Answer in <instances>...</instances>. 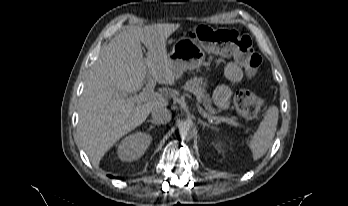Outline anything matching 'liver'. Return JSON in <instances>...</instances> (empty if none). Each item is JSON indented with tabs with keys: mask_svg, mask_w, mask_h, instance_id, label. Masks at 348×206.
<instances>
[{
	"mask_svg": "<svg viewBox=\"0 0 348 206\" xmlns=\"http://www.w3.org/2000/svg\"><path fill=\"white\" fill-rule=\"evenodd\" d=\"M179 27L178 23L130 27L103 48L91 67L80 103L78 129L93 165H99L105 153L155 108L169 104L163 96L137 104L125 96L139 91L147 75L159 84H175L166 40ZM141 43L147 48L146 56Z\"/></svg>",
	"mask_w": 348,
	"mask_h": 206,
	"instance_id": "obj_1",
	"label": "liver"
}]
</instances>
